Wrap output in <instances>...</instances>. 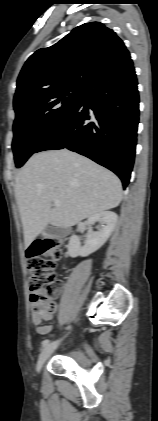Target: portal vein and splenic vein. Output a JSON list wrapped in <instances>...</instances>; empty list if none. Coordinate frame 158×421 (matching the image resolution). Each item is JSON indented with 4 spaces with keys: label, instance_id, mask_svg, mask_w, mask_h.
Masks as SVG:
<instances>
[{
    "label": "portal vein and splenic vein",
    "instance_id": "1",
    "mask_svg": "<svg viewBox=\"0 0 158 421\" xmlns=\"http://www.w3.org/2000/svg\"><path fill=\"white\" fill-rule=\"evenodd\" d=\"M61 205V202L59 200L54 201V206L59 207Z\"/></svg>",
    "mask_w": 158,
    "mask_h": 421
}]
</instances>
